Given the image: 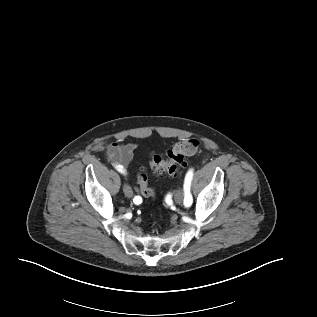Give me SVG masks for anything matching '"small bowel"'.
<instances>
[{
	"mask_svg": "<svg viewBox=\"0 0 317 317\" xmlns=\"http://www.w3.org/2000/svg\"><path fill=\"white\" fill-rule=\"evenodd\" d=\"M134 149L135 144L133 143H113L107 146V148L105 149V156L109 161L113 162L114 165L118 167L120 166L119 168L122 169L123 174H125L130 162L133 159ZM128 195L132 197L134 195L133 191L132 194L128 192Z\"/></svg>",
	"mask_w": 317,
	"mask_h": 317,
	"instance_id": "c3829d8e",
	"label": "small bowel"
}]
</instances>
